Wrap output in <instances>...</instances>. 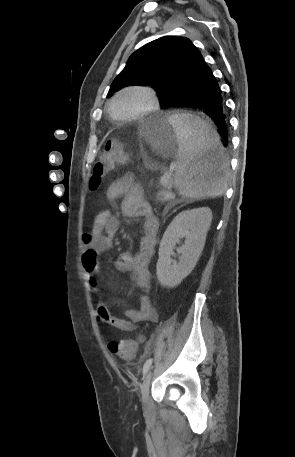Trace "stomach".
I'll list each match as a JSON object with an SVG mask.
<instances>
[{
	"label": "stomach",
	"instance_id": "stomach-1",
	"mask_svg": "<svg viewBox=\"0 0 295 457\" xmlns=\"http://www.w3.org/2000/svg\"><path fill=\"white\" fill-rule=\"evenodd\" d=\"M140 133L155 149H164L169 145L176 147L178 144L176 131L167 116L146 119L141 125Z\"/></svg>",
	"mask_w": 295,
	"mask_h": 457
}]
</instances>
